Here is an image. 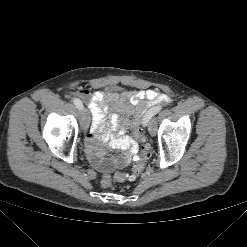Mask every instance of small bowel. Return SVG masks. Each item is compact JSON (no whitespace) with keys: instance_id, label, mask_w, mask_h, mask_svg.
<instances>
[{"instance_id":"small-bowel-1","label":"small bowel","mask_w":247,"mask_h":247,"mask_svg":"<svg viewBox=\"0 0 247 247\" xmlns=\"http://www.w3.org/2000/svg\"><path fill=\"white\" fill-rule=\"evenodd\" d=\"M75 94L88 104L91 112L93 123L86 137V151L93 166L102 172L125 167L136 159L139 147L127 131L141 123L150 107L170 102L167 95L152 89L105 92L79 89ZM107 120L110 129L104 130ZM104 144L123 153L106 160Z\"/></svg>"}]
</instances>
